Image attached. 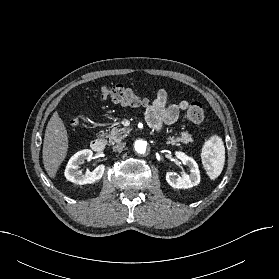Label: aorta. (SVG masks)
<instances>
[{"label":"aorta","mask_w":279,"mask_h":279,"mask_svg":"<svg viewBox=\"0 0 279 279\" xmlns=\"http://www.w3.org/2000/svg\"><path fill=\"white\" fill-rule=\"evenodd\" d=\"M135 151L139 154H144L147 149V142L143 140H137L134 144Z\"/></svg>","instance_id":"obj_1"}]
</instances>
